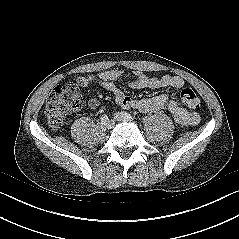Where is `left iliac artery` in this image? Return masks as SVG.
Listing matches in <instances>:
<instances>
[{
    "label": "left iliac artery",
    "instance_id": "left-iliac-artery-1",
    "mask_svg": "<svg viewBox=\"0 0 239 239\" xmlns=\"http://www.w3.org/2000/svg\"><path fill=\"white\" fill-rule=\"evenodd\" d=\"M124 115L127 116V117L132 118V116H131L129 113H127V112H124ZM132 119H133V118H132Z\"/></svg>",
    "mask_w": 239,
    "mask_h": 239
}]
</instances>
